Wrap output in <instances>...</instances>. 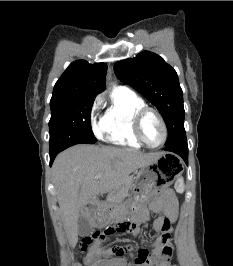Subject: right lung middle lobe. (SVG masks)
Returning a JSON list of instances; mask_svg holds the SVG:
<instances>
[{"label":"right lung middle lobe","mask_w":233,"mask_h":266,"mask_svg":"<svg viewBox=\"0 0 233 266\" xmlns=\"http://www.w3.org/2000/svg\"><path fill=\"white\" fill-rule=\"evenodd\" d=\"M96 95L51 99L50 153L79 143L96 142L91 128V109Z\"/></svg>","instance_id":"dd1d6c3e"}]
</instances>
